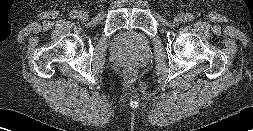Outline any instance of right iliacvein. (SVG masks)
Listing matches in <instances>:
<instances>
[{
    "label": "right iliac vein",
    "instance_id": "obj_1",
    "mask_svg": "<svg viewBox=\"0 0 253 131\" xmlns=\"http://www.w3.org/2000/svg\"><path fill=\"white\" fill-rule=\"evenodd\" d=\"M78 18L82 21H85L88 18V15L86 12L81 11L78 13Z\"/></svg>",
    "mask_w": 253,
    "mask_h": 131
}]
</instances>
